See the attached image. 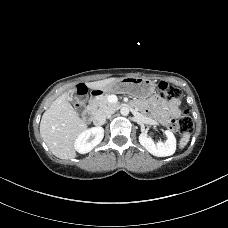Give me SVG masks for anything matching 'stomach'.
<instances>
[{
    "label": "stomach",
    "mask_w": 228,
    "mask_h": 228,
    "mask_svg": "<svg viewBox=\"0 0 228 228\" xmlns=\"http://www.w3.org/2000/svg\"><path fill=\"white\" fill-rule=\"evenodd\" d=\"M156 84L143 77H122L116 81L94 90V97L111 93L128 94L134 97L147 98L155 92Z\"/></svg>",
    "instance_id": "0dacf381"
}]
</instances>
